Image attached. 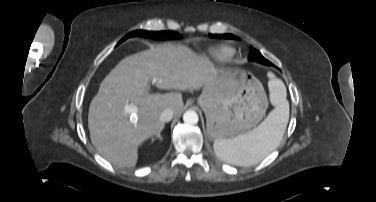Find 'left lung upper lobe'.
<instances>
[{
	"instance_id": "5c2ea615",
	"label": "left lung upper lobe",
	"mask_w": 376,
	"mask_h": 202,
	"mask_svg": "<svg viewBox=\"0 0 376 202\" xmlns=\"http://www.w3.org/2000/svg\"><path fill=\"white\" fill-rule=\"evenodd\" d=\"M209 36L211 38H218V39H222V38L238 39V37H236L235 35H232V34H224V35L209 34ZM248 58H249V60L256 61V62L264 64V65H272V63L269 62L268 60H266L258 50L253 49V48H251V54L249 55Z\"/></svg>"
}]
</instances>
